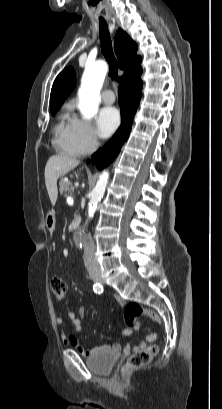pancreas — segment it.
<instances>
[{"instance_id":"1","label":"pancreas","mask_w":222,"mask_h":409,"mask_svg":"<svg viewBox=\"0 0 222 409\" xmlns=\"http://www.w3.org/2000/svg\"><path fill=\"white\" fill-rule=\"evenodd\" d=\"M60 192H68L70 195L74 192V187L70 181L61 180L60 183Z\"/></svg>"}]
</instances>
